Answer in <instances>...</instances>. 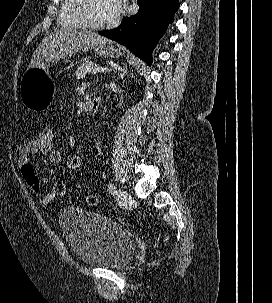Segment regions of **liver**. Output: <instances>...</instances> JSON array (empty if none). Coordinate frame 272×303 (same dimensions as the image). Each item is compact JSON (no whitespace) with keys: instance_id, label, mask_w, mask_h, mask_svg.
<instances>
[{"instance_id":"obj_1","label":"liver","mask_w":272,"mask_h":303,"mask_svg":"<svg viewBox=\"0 0 272 303\" xmlns=\"http://www.w3.org/2000/svg\"><path fill=\"white\" fill-rule=\"evenodd\" d=\"M107 38L86 30H55L45 37L36 48L28 69L42 68L50 63L66 60L77 53L94 49Z\"/></svg>"}]
</instances>
